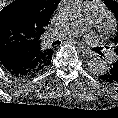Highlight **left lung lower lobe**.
<instances>
[{
  "label": "left lung lower lobe",
  "instance_id": "1",
  "mask_svg": "<svg viewBox=\"0 0 118 118\" xmlns=\"http://www.w3.org/2000/svg\"><path fill=\"white\" fill-rule=\"evenodd\" d=\"M99 78L108 83H118V66L111 64Z\"/></svg>",
  "mask_w": 118,
  "mask_h": 118
}]
</instances>
